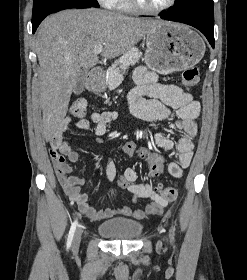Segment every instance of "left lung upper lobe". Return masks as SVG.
<instances>
[{
    "mask_svg": "<svg viewBox=\"0 0 247 280\" xmlns=\"http://www.w3.org/2000/svg\"><path fill=\"white\" fill-rule=\"evenodd\" d=\"M213 0H178L171 8L173 12H188L195 10L213 11Z\"/></svg>",
    "mask_w": 247,
    "mask_h": 280,
    "instance_id": "1",
    "label": "left lung upper lobe"
}]
</instances>
